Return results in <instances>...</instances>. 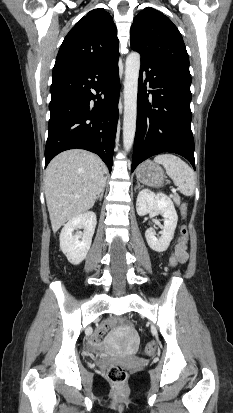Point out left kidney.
I'll return each instance as SVG.
<instances>
[{"instance_id":"5707ae66","label":"left kidney","mask_w":233,"mask_h":413,"mask_svg":"<svg viewBox=\"0 0 233 413\" xmlns=\"http://www.w3.org/2000/svg\"><path fill=\"white\" fill-rule=\"evenodd\" d=\"M136 210L139 216H144L152 211L160 213L164 218L161 237L157 238L152 228L145 232L149 247L156 252H164L173 239L177 226L178 216L172 200L164 194H155L148 189L139 192L136 201Z\"/></svg>"}]
</instances>
